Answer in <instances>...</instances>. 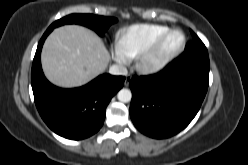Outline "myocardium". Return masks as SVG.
Masks as SVG:
<instances>
[{
  "instance_id": "1",
  "label": "myocardium",
  "mask_w": 248,
  "mask_h": 165,
  "mask_svg": "<svg viewBox=\"0 0 248 165\" xmlns=\"http://www.w3.org/2000/svg\"><path fill=\"white\" fill-rule=\"evenodd\" d=\"M180 33L181 42L171 52L161 58H154L159 46L162 42L171 34ZM186 46V35L185 33L177 28L168 29L165 32L158 35L137 57L138 68L145 73H156L166 68L171 62H173L185 49Z\"/></svg>"
}]
</instances>
